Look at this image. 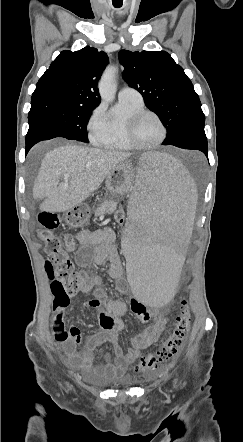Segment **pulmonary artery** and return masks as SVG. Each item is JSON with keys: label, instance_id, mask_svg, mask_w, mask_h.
<instances>
[{"label": "pulmonary artery", "instance_id": "obj_1", "mask_svg": "<svg viewBox=\"0 0 243 442\" xmlns=\"http://www.w3.org/2000/svg\"><path fill=\"white\" fill-rule=\"evenodd\" d=\"M119 100H127L134 102L143 101L142 95L134 88L124 87L119 92Z\"/></svg>", "mask_w": 243, "mask_h": 442}]
</instances>
